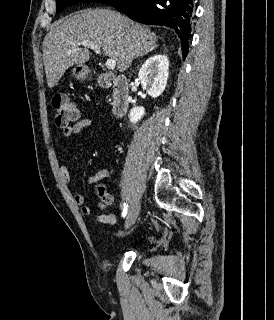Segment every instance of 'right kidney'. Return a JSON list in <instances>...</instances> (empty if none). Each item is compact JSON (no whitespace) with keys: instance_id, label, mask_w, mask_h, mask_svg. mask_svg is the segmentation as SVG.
I'll return each instance as SVG.
<instances>
[{"instance_id":"obj_1","label":"right kidney","mask_w":274,"mask_h":320,"mask_svg":"<svg viewBox=\"0 0 274 320\" xmlns=\"http://www.w3.org/2000/svg\"><path fill=\"white\" fill-rule=\"evenodd\" d=\"M169 60L165 54L150 56L138 72V78L143 90H146L152 98H158L163 94L169 76ZM145 116L143 106H135L128 114L131 124H138Z\"/></svg>"}]
</instances>
